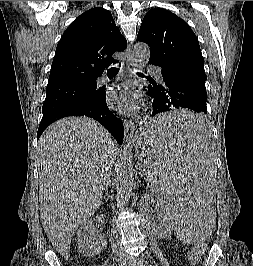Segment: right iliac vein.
I'll return each mask as SVG.
<instances>
[{
	"mask_svg": "<svg viewBox=\"0 0 253 266\" xmlns=\"http://www.w3.org/2000/svg\"><path fill=\"white\" fill-rule=\"evenodd\" d=\"M125 261V258L123 256H116L115 258V263L117 266H120L121 264H123Z\"/></svg>",
	"mask_w": 253,
	"mask_h": 266,
	"instance_id": "right-iliac-vein-1",
	"label": "right iliac vein"
}]
</instances>
